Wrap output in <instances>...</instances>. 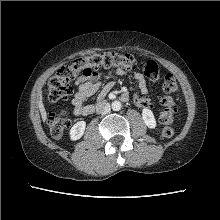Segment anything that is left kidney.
I'll list each match as a JSON object with an SVG mask.
<instances>
[{
  "label": "left kidney",
  "instance_id": "obj_1",
  "mask_svg": "<svg viewBox=\"0 0 220 220\" xmlns=\"http://www.w3.org/2000/svg\"><path fill=\"white\" fill-rule=\"evenodd\" d=\"M142 119L148 128L154 129L156 127V120L150 109L145 108L142 110Z\"/></svg>",
  "mask_w": 220,
  "mask_h": 220
}]
</instances>
